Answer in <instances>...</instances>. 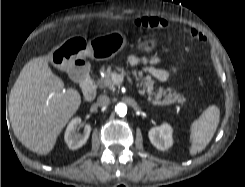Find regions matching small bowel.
<instances>
[{"label": "small bowel", "instance_id": "1", "mask_svg": "<svg viewBox=\"0 0 245 187\" xmlns=\"http://www.w3.org/2000/svg\"><path fill=\"white\" fill-rule=\"evenodd\" d=\"M128 63L133 68H141L144 71L150 72L158 80H166L168 73L156 66L158 63L157 58L143 59L134 55L128 57Z\"/></svg>", "mask_w": 245, "mask_h": 187}]
</instances>
